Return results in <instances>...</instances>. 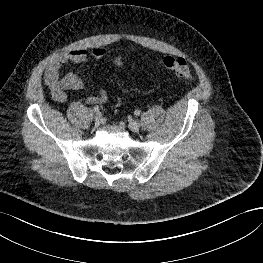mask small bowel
<instances>
[{
    "label": "small bowel",
    "instance_id": "1",
    "mask_svg": "<svg viewBox=\"0 0 263 263\" xmlns=\"http://www.w3.org/2000/svg\"><path fill=\"white\" fill-rule=\"evenodd\" d=\"M88 55L96 60H101L105 56V50L101 47L92 48L90 51L85 48L72 49L55 55L48 63L45 72V83L51 90L53 99L57 102H64L67 99V91H77L83 87L82 80L75 74L60 75V68L67 62H82ZM117 68L123 67L121 57L116 56L113 59ZM135 69V66H132ZM107 100V92L100 90L95 95L86 98L89 104H101Z\"/></svg>",
    "mask_w": 263,
    "mask_h": 263
}]
</instances>
